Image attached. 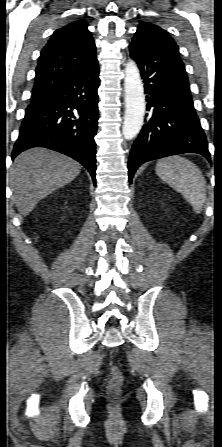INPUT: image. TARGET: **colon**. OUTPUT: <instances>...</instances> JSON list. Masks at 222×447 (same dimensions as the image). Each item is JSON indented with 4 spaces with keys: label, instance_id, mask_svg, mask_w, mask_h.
<instances>
[{
    "label": "colon",
    "instance_id": "1",
    "mask_svg": "<svg viewBox=\"0 0 222 447\" xmlns=\"http://www.w3.org/2000/svg\"><path fill=\"white\" fill-rule=\"evenodd\" d=\"M111 378L107 383L106 391L109 397L118 398L121 393L124 377L121 370L117 367L111 368Z\"/></svg>",
    "mask_w": 222,
    "mask_h": 447
}]
</instances>
